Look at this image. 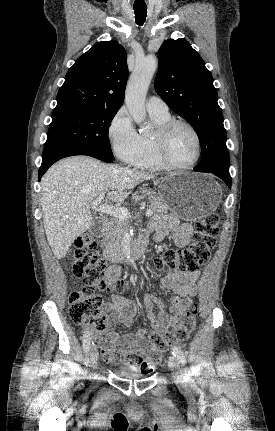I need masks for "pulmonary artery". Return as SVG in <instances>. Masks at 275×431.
<instances>
[{
    "label": "pulmonary artery",
    "instance_id": "obj_1",
    "mask_svg": "<svg viewBox=\"0 0 275 431\" xmlns=\"http://www.w3.org/2000/svg\"><path fill=\"white\" fill-rule=\"evenodd\" d=\"M146 108L149 113H156V114L168 113L167 104L158 96H150L146 101Z\"/></svg>",
    "mask_w": 275,
    "mask_h": 431
}]
</instances>
